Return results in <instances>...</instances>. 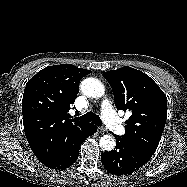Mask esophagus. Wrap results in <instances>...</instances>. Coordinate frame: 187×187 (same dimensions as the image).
I'll list each match as a JSON object with an SVG mask.
<instances>
[{"mask_svg": "<svg viewBox=\"0 0 187 187\" xmlns=\"http://www.w3.org/2000/svg\"><path fill=\"white\" fill-rule=\"evenodd\" d=\"M98 129L100 130V132L107 131V128L104 125L99 126Z\"/></svg>", "mask_w": 187, "mask_h": 187, "instance_id": "34e87169", "label": "esophagus"}]
</instances>
